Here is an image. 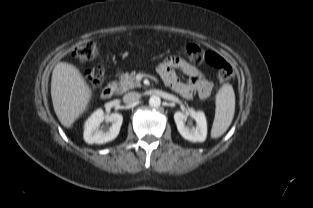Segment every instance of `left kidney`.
<instances>
[{
	"instance_id": "obj_1",
	"label": "left kidney",
	"mask_w": 313,
	"mask_h": 208,
	"mask_svg": "<svg viewBox=\"0 0 313 208\" xmlns=\"http://www.w3.org/2000/svg\"><path fill=\"white\" fill-rule=\"evenodd\" d=\"M191 116L196 121V127H189L185 125L188 116ZM174 120L177 129L181 136L192 142H204L207 135V122L203 112L189 109L188 113L180 111L175 112Z\"/></svg>"
}]
</instances>
